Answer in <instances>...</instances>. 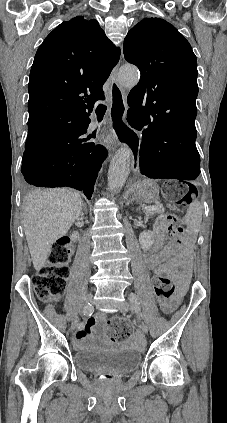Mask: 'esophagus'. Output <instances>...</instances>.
Returning a JSON list of instances; mask_svg holds the SVG:
<instances>
[{"label": "esophagus", "mask_w": 227, "mask_h": 423, "mask_svg": "<svg viewBox=\"0 0 227 423\" xmlns=\"http://www.w3.org/2000/svg\"><path fill=\"white\" fill-rule=\"evenodd\" d=\"M119 64L120 63L116 65L110 75L111 88L109 116L111 119V125H114V130H116V138L118 142L130 151L132 171L134 174H138L141 138L139 134H135L134 129H131V125H123V118L127 110V105L124 90L117 82Z\"/></svg>", "instance_id": "esophagus-1"}]
</instances>
